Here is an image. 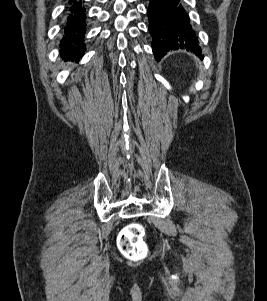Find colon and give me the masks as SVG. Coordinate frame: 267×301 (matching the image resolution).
Listing matches in <instances>:
<instances>
[{
  "instance_id": "obj_1",
  "label": "colon",
  "mask_w": 267,
  "mask_h": 301,
  "mask_svg": "<svg viewBox=\"0 0 267 301\" xmlns=\"http://www.w3.org/2000/svg\"><path fill=\"white\" fill-rule=\"evenodd\" d=\"M144 228L139 223L126 226L118 238V246L122 254L131 260H141L146 257L148 248L144 242Z\"/></svg>"
}]
</instances>
